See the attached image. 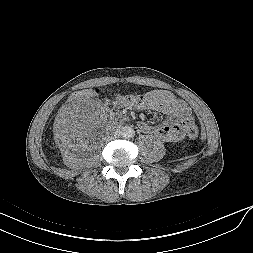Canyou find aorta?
<instances>
[{"instance_id":"1","label":"aorta","mask_w":253,"mask_h":253,"mask_svg":"<svg viewBox=\"0 0 253 253\" xmlns=\"http://www.w3.org/2000/svg\"><path fill=\"white\" fill-rule=\"evenodd\" d=\"M133 134L134 130L129 126H125L121 129V135L125 138L132 137Z\"/></svg>"}]
</instances>
